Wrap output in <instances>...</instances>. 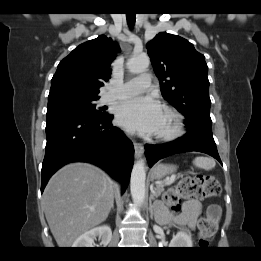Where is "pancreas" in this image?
Returning <instances> with one entry per match:
<instances>
[{"label":"pancreas","instance_id":"1","mask_svg":"<svg viewBox=\"0 0 261 261\" xmlns=\"http://www.w3.org/2000/svg\"><path fill=\"white\" fill-rule=\"evenodd\" d=\"M165 183H166V181L156 185V187L154 188V191H153L154 197H158L161 195L162 192H164Z\"/></svg>","mask_w":261,"mask_h":261}]
</instances>
